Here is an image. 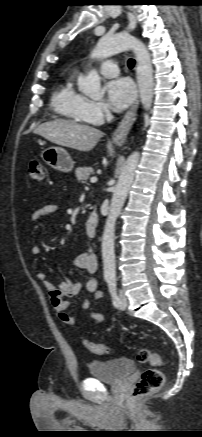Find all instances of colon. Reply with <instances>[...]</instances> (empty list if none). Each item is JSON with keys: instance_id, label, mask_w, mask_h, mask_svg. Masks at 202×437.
Segmentation results:
<instances>
[{"instance_id": "colon-1", "label": "colon", "mask_w": 202, "mask_h": 437, "mask_svg": "<svg viewBox=\"0 0 202 437\" xmlns=\"http://www.w3.org/2000/svg\"><path fill=\"white\" fill-rule=\"evenodd\" d=\"M28 171L33 180L41 181L44 178L43 165L38 160L30 162ZM84 345L90 352L97 355H103L109 351L108 346L102 343L84 340ZM137 360L140 363H148L153 367H159L162 364L161 356L147 348H142L137 352ZM164 381L165 375L162 370L158 368L147 369L135 383L132 395L134 398H140L154 393L162 388Z\"/></svg>"}]
</instances>
